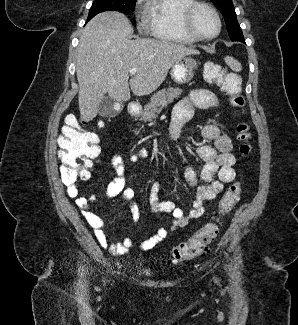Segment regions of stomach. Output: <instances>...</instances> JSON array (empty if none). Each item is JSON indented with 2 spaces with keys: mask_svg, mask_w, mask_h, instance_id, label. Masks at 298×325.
<instances>
[{
  "mask_svg": "<svg viewBox=\"0 0 298 325\" xmlns=\"http://www.w3.org/2000/svg\"><path fill=\"white\" fill-rule=\"evenodd\" d=\"M199 68V62L192 54H185L183 58L176 60L171 66L170 76L176 84H186L195 76L196 70Z\"/></svg>",
  "mask_w": 298,
  "mask_h": 325,
  "instance_id": "0dacf381",
  "label": "stomach"
}]
</instances>
